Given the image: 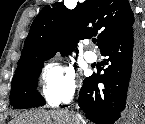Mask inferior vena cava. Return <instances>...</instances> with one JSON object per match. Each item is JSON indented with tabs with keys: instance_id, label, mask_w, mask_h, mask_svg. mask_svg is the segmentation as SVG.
Segmentation results:
<instances>
[{
	"instance_id": "obj_1",
	"label": "inferior vena cava",
	"mask_w": 145,
	"mask_h": 124,
	"mask_svg": "<svg viewBox=\"0 0 145 124\" xmlns=\"http://www.w3.org/2000/svg\"><path fill=\"white\" fill-rule=\"evenodd\" d=\"M75 120H76V124H85V122L83 121L81 115L77 114L75 116Z\"/></svg>"
}]
</instances>
